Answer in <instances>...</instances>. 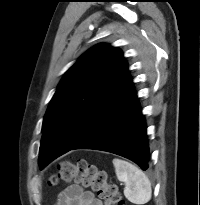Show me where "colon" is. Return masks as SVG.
Returning a JSON list of instances; mask_svg holds the SVG:
<instances>
[{
  "label": "colon",
  "instance_id": "5ec220e1",
  "mask_svg": "<svg viewBox=\"0 0 200 205\" xmlns=\"http://www.w3.org/2000/svg\"><path fill=\"white\" fill-rule=\"evenodd\" d=\"M77 183L90 188L105 202V205H125L117 186L108 181L105 171L84 159L76 163L63 161L50 178V185Z\"/></svg>",
  "mask_w": 200,
  "mask_h": 205
}]
</instances>
